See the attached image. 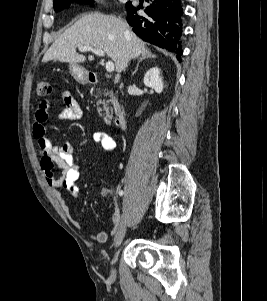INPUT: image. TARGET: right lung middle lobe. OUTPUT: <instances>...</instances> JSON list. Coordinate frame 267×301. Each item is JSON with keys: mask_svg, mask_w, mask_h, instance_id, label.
Returning a JSON list of instances; mask_svg holds the SVG:
<instances>
[{"mask_svg": "<svg viewBox=\"0 0 267 301\" xmlns=\"http://www.w3.org/2000/svg\"><path fill=\"white\" fill-rule=\"evenodd\" d=\"M74 2L93 5L92 0H54V10L60 11Z\"/></svg>", "mask_w": 267, "mask_h": 301, "instance_id": "dd1d6c3e", "label": "right lung middle lobe"}]
</instances>
